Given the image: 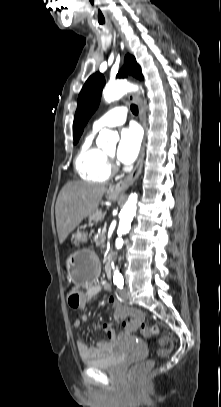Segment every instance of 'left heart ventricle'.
I'll return each mask as SVG.
<instances>
[{
	"instance_id": "left-heart-ventricle-1",
	"label": "left heart ventricle",
	"mask_w": 221,
	"mask_h": 407,
	"mask_svg": "<svg viewBox=\"0 0 221 407\" xmlns=\"http://www.w3.org/2000/svg\"><path fill=\"white\" fill-rule=\"evenodd\" d=\"M108 153H109V155H113V154H114V150H110Z\"/></svg>"
}]
</instances>
